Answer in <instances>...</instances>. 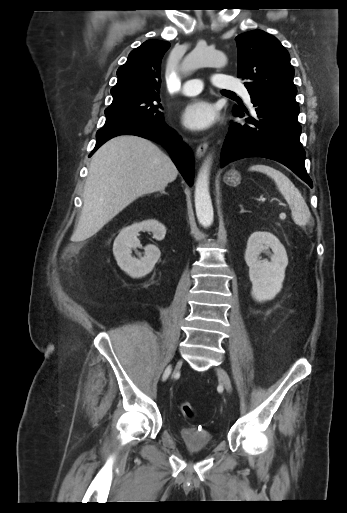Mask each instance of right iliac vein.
<instances>
[{"instance_id":"obj_1","label":"right iliac vein","mask_w":347,"mask_h":513,"mask_svg":"<svg viewBox=\"0 0 347 513\" xmlns=\"http://www.w3.org/2000/svg\"><path fill=\"white\" fill-rule=\"evenodd\" d=\"M181 365H182V361H181V360H179V361L177 362L176 366H175V369H174V371H173V374H175V373L179 370V368L181 367Z\"/></svg>"}]
</instances>
